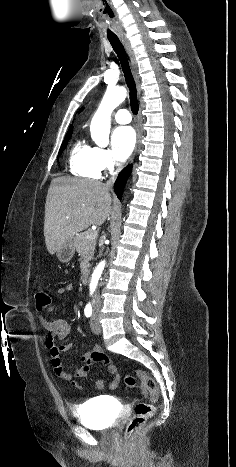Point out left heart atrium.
Wrapping results in <instances>:
<instances>
[{"label": "left heart atrium", "mask_w": 236, "mask_h": 467, "mask_svg": "<svg viewBox=\"0 0 236 467\" xmlns=\"http://www.w3.org/2000/svg\"><path fill=\"white\" fill-rule=\"evenodd\" d=\"M112 150L118 161H125L135 147V133L130 126L115 128L111 136Z\"/></svg>", "instance_id": "left-heart-atrium-1"}]
</instances>
